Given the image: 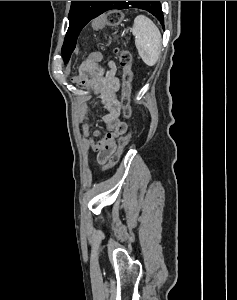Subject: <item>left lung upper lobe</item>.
I'll return each mask as SVG.
<instances>
[{"label": "left lung upper lobe", "mask_w": 237, "mask_h": 300, "mask_svg": "<svg viewBox=\"0 0 237 300\" xmlns=\"http://www.w3.org/2000/svg\"><path fill=\"white\" fill-rule=\"evenodd\" d=\"M109 2L110 1H72L68 15L70 24L62 47V56L65 63L69 61L82 29L92 19L101 15L103 9ZM119 6L120 9L139 8L146 10L155 16L164 28V16L160 13L161 5L159 1H120Z\"/></svg>", "instance_id": "left-lung-upper-lobe-1"}]
</instances>
